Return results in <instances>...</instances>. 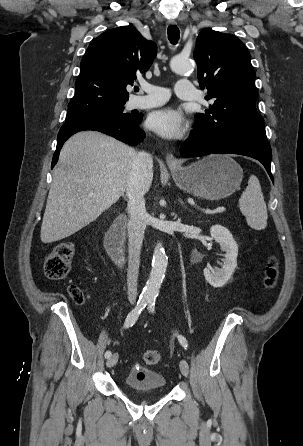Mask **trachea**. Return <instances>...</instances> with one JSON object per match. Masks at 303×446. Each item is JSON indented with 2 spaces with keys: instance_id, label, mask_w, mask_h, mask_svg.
Instances as JSON below:
<instances>
[{
  "instance_id": "trachea-1",
  "label": "trachea",
  "mask_w": 303,
  "mask_h": 446,
  "mask_svg": "<svg viewBox=\"0 0 303 446\" xmlns=\"http://www.w3.org/2000/svg\"><path fill=\"white\" fill-rule=\"evenodd\" d=\"M167 32H168V39H169V41L173 45L177 44V42H178V40L180 38V31H179L178 27L175 26V25H171V26L168 27V31ZM138 90H139V88L135 89V91H138Z\"/></svg>"
}]
</instances>
